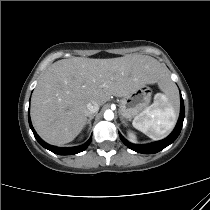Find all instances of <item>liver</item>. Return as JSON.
<instances>
[{
  "mask_svg": "<svg viewBox=\"0 0 210 210\" xmlns=\"http://www.w3.org/2000/svg\"><path fill=\"white\" fill-rule=\"evenodd\" d=\"M168 81L164 67L147 55L111 59L73 57L58 60L41 76L31 100V120L39 136L52 145L74 140L87 122V104H105L111 96L125 97Z\"/></svg>",
  "mask_w": 210,
  "mask_h": 210,
  "instance_id": "6515ba94",
  "label": "liver"
}]
</instances>
